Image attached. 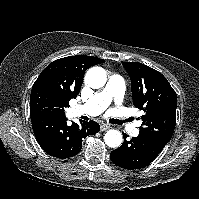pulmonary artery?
I'll return each mask as SVG.
<instances>
[{"label": "pulmonary artery", "mask_w": 199, "mask_h": 199, "mask_svg": "<svg viewBox=\"0 0 199 199\" xmlns=\"http://www.w3.org/2000/svg\"><path fill=\"white\" fill-rule=\"evenodd\" d=\"M125 83L121 76L111 75L105 88L94 94L85 103L73 107L74 115L97 116L102 113L112 102L121 103L123 99ZM130 133L138 134V129L130 127Z\"/></svg>", "instance_id": "obj_1"}]
</instances>
